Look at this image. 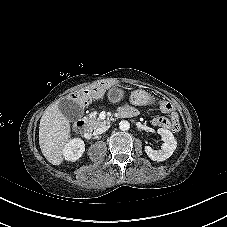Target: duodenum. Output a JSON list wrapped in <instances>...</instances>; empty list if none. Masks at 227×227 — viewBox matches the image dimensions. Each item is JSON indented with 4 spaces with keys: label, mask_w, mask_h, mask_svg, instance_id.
I'll return each instance as SVG.
<instances>
[{
    "label": "duodenum",
    "mask_w": 227,
    "mask_h": 227,
    "mask_svg": "<svg viewBox=\"0 0 227 227\" xmlns=\"http://www.w3.org/2000/svg\"><path fill=\"white\" fill-rule=\"evenodd\" d=\"M119 116L122 117H131L132 114L128 113L125 114L123 111L119 112ZM74 129L77 133H79L80 135H85L87 133L88 130V123L84 120H78L75 125H74Z\"/></svg>",
    "instance_id": "obj_1"
}]
</instances>
